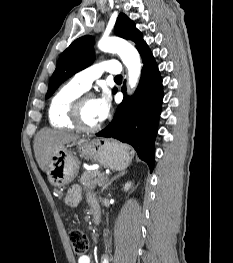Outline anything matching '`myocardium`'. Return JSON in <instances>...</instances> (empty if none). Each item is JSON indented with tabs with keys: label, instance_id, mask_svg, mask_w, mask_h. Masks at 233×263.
<instances>
[{
	"label": "myocardium",
	"instance_id": "myocardium-1",
	"mask_svg": "<svg viewBox=\"0 0 233 263\" xmlns=\"http://www.w3.org/2000/svg\"><path fill=\"white\" fill-rule=\"evenodd\" d=\"M88 97H92L91 93L82 92L78 95L72 102L70 107V119L75 125V127L83 132H95L101 128V123L95 126H87L84 124L82 119V111L84 103Z\"/></svg>",
	"mask_w": 233,
	"mask_h": 263
}]
</instances>
